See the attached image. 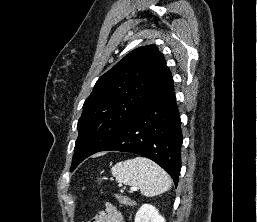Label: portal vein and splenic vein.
Segmentation results:
<instances>
[{"instance_id":"1","label":"portal vein and splenic vein","mask_w":257,"mask_h":222,"mask_svg":"<svg viewBox=\"0 0 257 222\" xmlns=\"http://www.w3.org/2000/svg\"><path fill=\"white\" fill-rule=\"evenodd\" d=\"M131 190H132V191H135V190H136V188H131Z\"/></svg>"}]
</instances>
